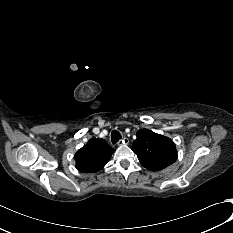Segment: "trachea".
<instances>
[{
  "instance_id": "1",
  "label": "trachea",
  "mask_w": 233,
  "mask_h": 233,
  "mask_svg": "<svg viewBox=\"0 0 233 233\" xmlns=\"http://www.w3.org/2000/svg\"><path fill=\"white\" fill-rule=\"evenodd\" d=\"M121 139V134L117 130H113L111 133V141L116 144Z\"/></svg>"
}]
</instances>
